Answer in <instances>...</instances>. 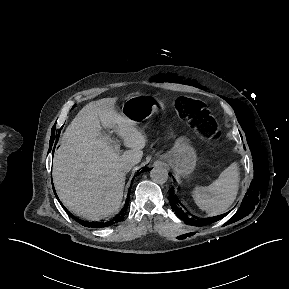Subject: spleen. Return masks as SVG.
Segmentation results:
<instances>
[{"label":"spleen","instance_id":"1","mask_svg":"<svg viewBox=\"0 0 289 289\" xmlns=\"http://www.w3.org/2000/svg\"><path fill=\"white\" fill-rule=\"evenodd\" d=\"M239 181V166L237 162H233L209 186L196 187L193 190V198L201 210L210 215H219L236 199Z\"/></svg>","mask_w":289,"mask_h":289}]
</instances>
